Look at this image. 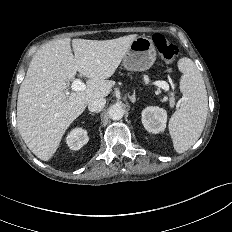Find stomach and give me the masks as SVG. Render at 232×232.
<instances>
[{"label": "stomach", "mask_w": 232, "mask_h": 232, "mask_svg": "<svg viewBox=\"0 0 232 232\" xmlns=\"http://www.w3.org/2000/svg\"><path fill=\"white\" fill-rule=\"evenodd\" d=\"M156 60V50L151 39L140 36L133 40L123 58V65L130 71L149 69Z\"/></svg>", "instance_id": "1"}]
</instances>
